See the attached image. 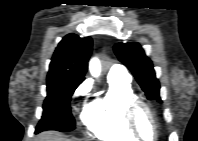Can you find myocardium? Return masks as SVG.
I'll use <instances>...</instances> for the list:
<instances>
[{
    "mask_svg": "<svg viewBox=\"0 0 198 141\" xmlns=\"http://www.w3.org/2000/svg\"><path fill=\"white\" fill-rule=\"evenodd\" d=\"M145 110L148 115L150 116L152 123L154 124L155 127V133L153 138L151 139H146L143 137L138 124H137V116L139 110ZM124 118H125V123L129 130L134 134V136L137 139L141 140H156L159 136V121L157 114L154 110V108L143 98H140L138 96H133L131 98H128L124 102Z\"/></svg>",
    "mask_w": 198,
    "mask_h": 141,
    "instance_id": "myocardium-1",
    "label": "myocardium"
}]
</instances>
